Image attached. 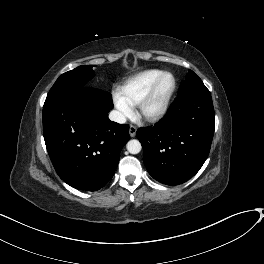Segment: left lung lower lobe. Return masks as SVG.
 Returning a JSON list of instances; mask_svg holds the SVG:
<instances>
[{"label": "left lung lower lobe", "mask_w": 264, "mask_h": 264, "mask_svg": "<svg viewBox=\"0 0 264 264\" xmlns=\"http://www.w3.org/2000/svg\"><path fill=\"white\" fill-rule=\"evenodd\" d=\"M214 129V108L207 88L178 95L160 122L137 130L149 174L166 185L189 180L208 157Z\"/></svg>", "instance_id": "left-lung-lower-lobe-1"}]
</instances>
